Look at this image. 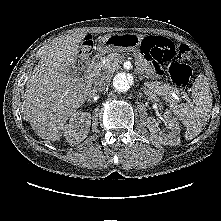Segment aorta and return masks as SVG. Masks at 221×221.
I'll return each instance as SVG.
<instances>
[{"instance_id":"1","label":"aorta","mask_w":221,"mask_h":221,"mask_svg":"<svg viewBox=\"0 0 221 221\" xmlns=\"http://www.w3.org/2000/svg\"><path fill=\"white\" fill-rule=\"evenodd\" d=\"M132 85V80L126 73H118L113 78V87L118 92H127Z\"/></svg>"}]
</instances>
